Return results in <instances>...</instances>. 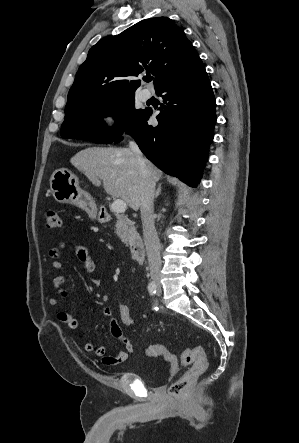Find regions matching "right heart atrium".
Segmentation results:
<instances>
[{
  "label": "right heart atrium",
  "mask_w": 299,
  "mask_h": 443,
  "mask_svg": "<svg viewBox=\"0 0 299 443\" xmlns=\"http://www.w3.org/2000/svg\"><path fill=\"white\" fill-rule=\"evenodd\" d=\"M123 120L122 110L116 105H110L103 109L100 115L101 126L106 136L117 133Z\"/></svg>",
  "instance_id": "obj_1"
}]
</instances>
